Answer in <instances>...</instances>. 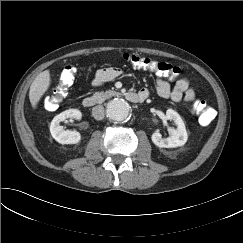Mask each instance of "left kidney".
I'll use <instances>...</instances> for the list:
<instances>
[{"instance_id": "5707ae66", "label": "left kidney", "mask_w": 243, "mask_h": 243, "mask_svg": "<svg viewBox=\"0 0 243 243\" xmlns=\"http://www.w3.org/2000/svg\"><path fill=\"white\" fill-rule=\"evenodd\" d=\"M166 119L173 120L177 125V128L170 129V136L167 138H162V135L159 132L153 133L151 137L152 142L160 148L183 146L187 142L188 135L182 118L176 111L168 109L166 111Z\"/></svg>"}]
</instances>
